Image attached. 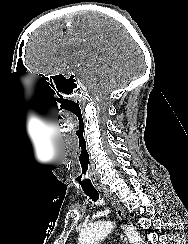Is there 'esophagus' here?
<instances>
[{
	"instance_id": "obj_1",
	"label": "esophagus",
	"mask_w": 188,
	"mask_h": 244,
	"mask_svg": "<svg viewBox=\"0 0 188 244\" xmlns=\"http://www.w3.org/2000/svg\"><path fill=\"white\" fill-rule=\"evenodd\" d=\"M103 195H104V197H106L107 199H109L112 202L113 206L115 207V211H116V215H117L118 219L120 221H122L124 219L123 207L120 205V203L115 198H113L112 194L109 193L107 190L103 191ZM121 240H122L123 244H127L126 237L123 233H121Z\"/></svg>"
}]
</instances>
